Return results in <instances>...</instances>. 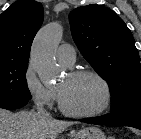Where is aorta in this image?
<instances>
[{
	"label": "aorta",
	"mask_w": 141,
	"mask_h": 139,
	"mask_svg": "<svg viewBox=\"0 0 141 139\" xmlns=\"http://www.w3.org/2000/svg\"><path fill=\"white\" fill-rule=\"evenodd\" d=\"M62 36V25L53 22L39 30L32 44L31 63L45 85L50 84L59 75L55 65V50Z\"/></svg>",
	"instance_id": "aorta-1"
}]
</instances>
